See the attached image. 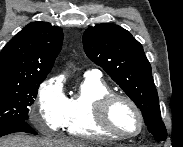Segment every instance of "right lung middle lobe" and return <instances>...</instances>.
Wrapping results in <instances>:
<instances>
[{
	"mask_svg": "<svg viewBox=\"0 0 183 147\" xmlns=\"http://www.w3.org/2000/svg\"><path fill=\"white\" fill-rule=\"evenodd\" d=\"M45 78L24 83L0 84V126L12 122L27 121L29 107Z\"/></svg>",
	"mask_w": 183,
	"mask_h": 147,
	"instance_id": "right-lung-middle-lobe-1",
	"label": "right lung middle lobe"
}]
</instances>
